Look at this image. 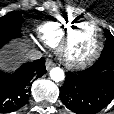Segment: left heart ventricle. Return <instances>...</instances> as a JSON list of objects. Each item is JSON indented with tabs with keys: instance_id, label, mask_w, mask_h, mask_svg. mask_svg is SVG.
I'll use <instances>...</instances> for the list:
<instances>
[{
	"instance_id": "left-heart-ventricle-1",
	"label": "left heart ventricle",
	"mask_w": 114,
	"mask_h": 114,
	"mask_svg": "<svg viewBox=\"0 0 114 114\" xmlns=\"http://www.w3.org/2000/svg\"><path fill=\"white\" fill-rule=\"evenodd\" d=\"M97 39V32L91 24L82 25L73 38L69 54L75 58L88 55L95 48Z\"/></svg>"
}]
</instances>
